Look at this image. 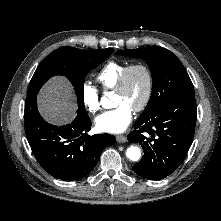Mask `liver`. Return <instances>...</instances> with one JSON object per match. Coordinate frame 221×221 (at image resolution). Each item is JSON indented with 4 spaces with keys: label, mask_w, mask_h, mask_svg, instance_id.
Returning <instances> with one entry per match:
<instances>
[{
    "label": "liver",
    "mask_w": 221,
    "mask_h": 221,
    "mask_svg": "<svg viewBox=\"0 0 221 221\" xmlns=\"http://www.w3.org/2000/svg\"><path fill=\"white\" fill-rule=\"evenodd\" d=\"M38 108L43 118L56 125L75 117L76 104L72 88L63 77L49 80L38 95Z\"/></svg>",
    "instance_id": "6515ba94"
}]
</instances>
